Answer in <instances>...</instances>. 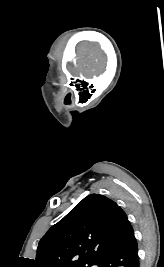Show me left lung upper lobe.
<instances>
[{
  "mask_svg": "<svg viewBox=\"0 0 164 267\" xmlns=\"http://www.w3.org/2000/svg\"><path fill=\"white\" fill-rule=\"evenodd\" d=\"M128 222L111 199L91 194L81 200L42 237L34 267H91Z\"/></svg>",
  "mask_w": 164,
  "mask_h": 267,
  "instance_id": "5c2ea615",
  "label": "left lung upper lobe"
}]
</instances>
